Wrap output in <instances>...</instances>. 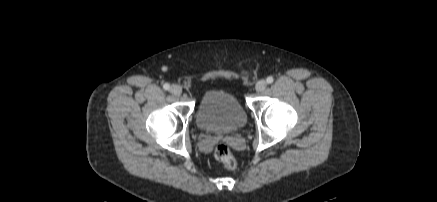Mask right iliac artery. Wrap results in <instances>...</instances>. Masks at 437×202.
I'll return each instance as SVG.
<instances>
[{"mask_svg":"<svg viewBox=\"0 0 437 202\" xmlns=\"http://www.w3.org/2000/svg\"><path fill=\"white\" fill-rule=\"evenodd\" d=\"M163 88H164L165 90H169L170 85H169L168 83H165V84L163 85Z\"/></svg>","mask_w":437,"mask_h":202,"instance_id":"82829eb1","label":"right iliac artery"}]
</instances>
